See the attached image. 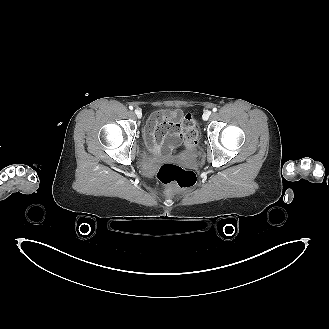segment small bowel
<instances>
[{"label": "small bowel", "instance_id": "obj_1", "mask_svg": "<svg viewBox=\"0 0 329 329\" xmlns=\"http://www.w3.org/2000/svg\"><path fill=\"white\" fill-rule=\"evenodd\" d=\"M183 114L180 110L157 111L144 127L146 144L153 153L173 155L184 141Z\"/></svg>", "mask_w": 329, "mask_h": 329}]
</instances>
